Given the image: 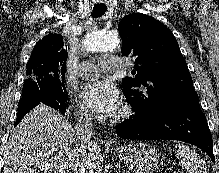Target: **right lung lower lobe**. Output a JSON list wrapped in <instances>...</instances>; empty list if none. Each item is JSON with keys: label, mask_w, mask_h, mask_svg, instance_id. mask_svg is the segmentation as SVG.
<instances>
[{"label": "right lung lower lobe", "mask_w": 219, "mask_h": 173, "mask_svg": "<svg viewBox=\"0 0 219 173\" xmlns=\"http://www.w3.org/2000/svg\"><path fill=\"white\" fill-rule=\"evenodd\" d=\"M40 102L53 107L62 113L65 112L68 105L66 102L59 101L54 95L46 93L44 91L30 92L28 94H22V98L18 105V114L15 122V126L21 121V119Z\"/></svg>", "instance_id": "right-lung-lower-lobe-1"}]
</instances>
